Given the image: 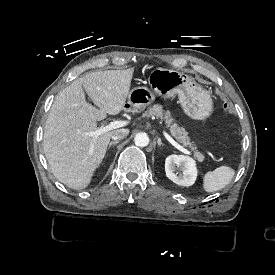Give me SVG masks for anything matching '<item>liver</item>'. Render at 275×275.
Returning a JSON list of instances; mask_svg holds the SVG:
<instances>
[{
	"label": "liver",
	"mask_w": 275,
	"mask_h": 275,
	"mask_svg": "<svg viewBox=\"0 0 275 275\" xmlns=\"http://www.w3.org/2000/svg\"><path fill=\"white\" fill-rule=\"evenodd\" d=\"M133 69L87 73L56 96L46 120L43 149L53 175L72 189L86 188L106 154L115 131L97 138L84 133L95 131L97 121L123 109ZM86 91L94 107L85 100Z\"/></svg>",
	"instance_id": "liver-1"
}]
</instances>
